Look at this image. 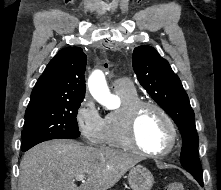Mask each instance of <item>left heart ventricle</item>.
<instances>
[{
  "instance_id": "left-heart-ventricle-1",
  "label": "left heart ventricle",
  "mask_w": 221,
  "mask_h": 190,
  "mask_svg": "<svg viewBox=\"0 0 221 190\" xmlns=\"http://www.w3.org/2000/svg\"><path fill=\"white\" fill-rule=\"evenodd\" d=\"M135 135L138 144L152 151L164 149L170 140V131L166 121L153 108L146 107L137 117Z\"/></svg>"
}]
</instances>
